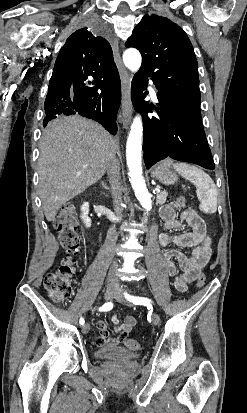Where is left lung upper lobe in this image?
Instances as JSON below:
<instances>
[{
    "instance_id": "left-lung-upper-lobe-1",
    "label": "left lung upper lobe",
    "mask_w": 247,
    "mask_h": 413,
    "mask_svg": "<svg viewBox=\"0 0 247 413\" xmlns=\"http://www.w3.org/2000/svg\"><path fill=\"white\" fill-rule=\"evenodd\" d=\"M142 55L138 73L151 78L157 90L200 104L198 63L186 33L168 18L144 15L126 42Z\"/></svg>"
}]
</instances>
